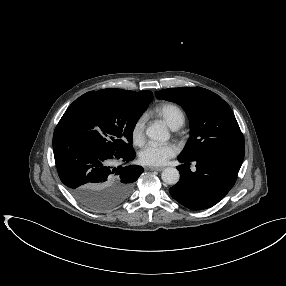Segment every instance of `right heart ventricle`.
Returning a JSON list of instances; mask_svg holds the SVG:
<instances>
[{"label":"right heart ventricle","instance_id":"1","mask_svg":"<svg viewBox=\"0 0 286 286\" xmlns=\"http://www.w3.org/2000/svg\"><path fill=\"white\" fill-rule=\"evenodd\" d=\"M156 113L172 128H179L185 122L183 110L172 103H165L157 107Z\"/></svg>","mask_w":286,"mask_h":286}]
</instances>
